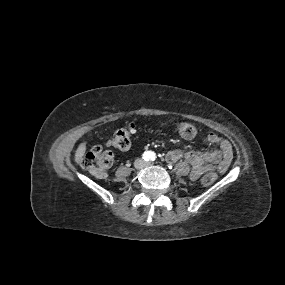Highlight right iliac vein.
Here are the masks:
<instances>
[{"label":"right iliac vein","instance_id":"right-iliac-vein-1","mask_svg":"<svg viewBox=\"0 0 285 285\" xmlns=\"http://www.w3.org/2000/svg\"><path fill=\"white\" fill-rule=\"evenodd\" d=\"M134 167H135V169H137V170L142 169V168L144 167L143 161L140 160V159L136 160L135 163H134Z\"/></svg>","mask_w":285,"mask_h":285}]
</instances>
